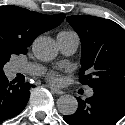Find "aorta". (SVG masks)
Instances as JSON below:
<instances>
[{
    "instance_id": "1",
    "label": "aorta",
    "mask_w": 125,
    "mask_h": 125,
    "mask_svg": "<svg viewBox=\"0 0 125 125\" xmlns=\"http://www.w3.org/2000/svg\"><path fill=\"white\" fill-rule=\"evenodd\" d=\"M32 51L41 61H50L57 56L55 42L50 37H38L32 44ZM57 108L63 115H72L78 108V102L72 95H62L57 100Z\"/></svg>"
}]
</instances>
